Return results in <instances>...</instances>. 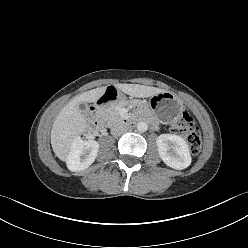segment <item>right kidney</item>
<instances>
[{
    "label": "right kidney",
    "instance_id": "obj_1",
    "mask_svg": "<svg viewBox=\"0 0 248 248\" xmlns=\"http://www.w3.org/2000/svg\"><path fill=\"white\" fill-rule=\"evenodd\" d=\"M99 144L95 140H82L77 137L66 160L67 167L72 172L87 169L96 159Z\"/></svg>",
    "mask_w": 248,
    "mask_h": 248
}]
</instances>
